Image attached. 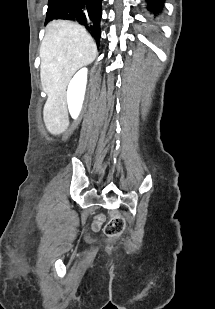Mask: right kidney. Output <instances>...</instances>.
<instances>
[{
  "instance_id": "1",
  "label": "right kidney",
  "mask_w": 215,
  "mask_h": 309,
  "mask_svg": "<svg viewBox=\"0 0 215 309\" xmlns=\"http://www.w3.org/2000/svg\"><path fill=\"white\" fill-rule=\"evenodd\" d=\"M88 68H80L71 78L67 88V102L72 118H77L83 104Z\"/></svg>"
}]
</instances>
